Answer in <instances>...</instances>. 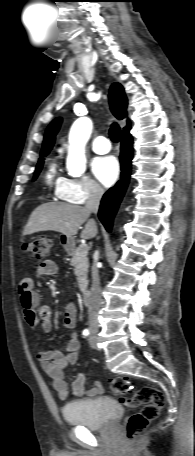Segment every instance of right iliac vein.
<instances>
[{"label":"right iliac vein","mask_w":195,"mask_h":456,"mask_svg":"<svg viewBox=\"0 0 195 456\" xmlns=\"http://www.w3.org/2000/svg\"><path fill=\"white\" fill-rule=\"evenodd\" d=\"M92 331L94 332V331H96V330H95V329H92Z\"/></svg>","instance_id":"obj_1"}]
</instances>
